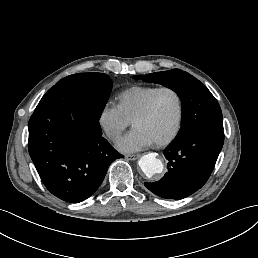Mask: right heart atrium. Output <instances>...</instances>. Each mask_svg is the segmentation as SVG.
<instances>
[{"instance_id": "1", "label": "right heart atrium", "mask_w": 258, "mask_h": 258, "mask_svg": "<svg viewBox=\"0 0 258 258\" xmlns=\"http://www.w3.org/2000/svg\"><path fill=\"white\" fill-rule=\"evenodd\" d=\"M99 124L111 138L120 135L129 125L116 105L104 107L99 115Z\"/></svg>"}]
</instances>
